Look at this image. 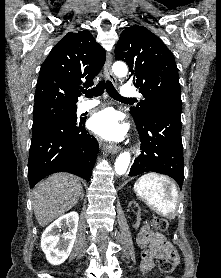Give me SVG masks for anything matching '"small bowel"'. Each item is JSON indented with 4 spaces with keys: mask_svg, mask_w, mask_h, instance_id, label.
Listing matches in <instances>:
<instances>
[{
    "mask_svg": "<svg viewBox=\"0 0 221 278\" xmlns=\"http://www.w3.org/2000/svg\"><path fill=\"white\" fill-rule=\"evenodd\" d=\"M137 244L143 249L142 252V267L145 272H150L157 258L167 254L178 259V255L170 244L165 241V237L157 232H154L150 224L146 222L140 229L137 235Z\"/></svg>",
    "mask_w": 221,
    "mask_h": 278,
    "instance_id": "c3829d8e",
    "label": "small bowel"
}]
</instances>
